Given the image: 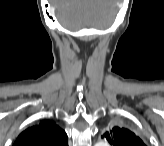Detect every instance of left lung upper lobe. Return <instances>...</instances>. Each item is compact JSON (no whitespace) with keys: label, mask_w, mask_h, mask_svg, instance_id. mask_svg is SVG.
<instances>
[{"label":"left lung upper lobe","mask_w":164,"mask_h":146,"mask_svg":"<svg viewBox=\"0 0 164 146\" xmlns=\"http://www.w3.org/2000/svg\"><path fill=\"white\" fill-rule=\"evenodd\" d=\"M102 138L114 146H144L143 141L132 131L123 127H114L104 133Z\"/></svg>","instance_id":"1"}]
</instances>
